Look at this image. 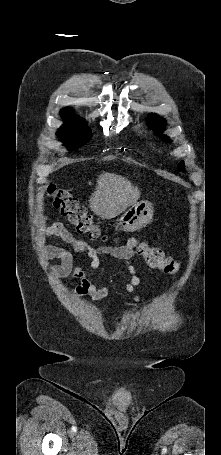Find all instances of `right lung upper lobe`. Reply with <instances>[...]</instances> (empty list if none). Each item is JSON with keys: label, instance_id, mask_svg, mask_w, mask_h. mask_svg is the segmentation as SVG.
Segmentation results:
<instances>
[{"label": "right lung upper lobe", "instance_id": "cb5924a9", "mask_svg": "<svg viewBox=\"0 0 221 455\" xmlns=\"http://www.w3.org/2000/svg\"><path fill=\"white\" fill-rule=\"evenodd\" d=\"M61 115L63 116L64 120L67 122H73V123H83L78 119L77 116L72 114L71 109L65 108L61 110Z\"/></svg>", "mask_w": 221, "mask_h": 455}]
</instances>
